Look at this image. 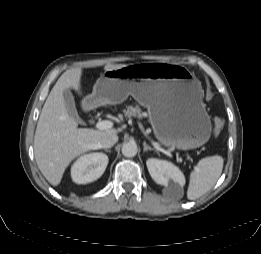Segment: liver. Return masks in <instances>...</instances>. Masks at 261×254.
<instances>
[{
    "label": "liver",
    "mask_w": 261,
    "mask_h": 254,
    "mask_svg": "<svg viewBox=\"0 0 261 254\" xmlns=\"http://www.w3.org/2000/svg\"><path fill=\"white\" fill-rule=\"evenodd\" d=\"M125 64H107L105 71L125 67ZM81 68L65 71L49 93L42 108L34 136V154L39 170L53 186L60 184L69 164L79 155L99 149L98 142L116 129L94 130L78 128L68 113L63 91L74 89L80 95Z\"/></svg>",
    "instance_id": "obj_1"
}]
</instances>
